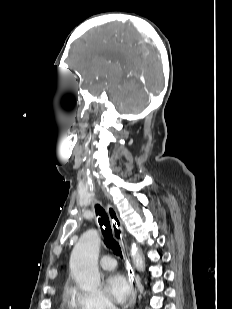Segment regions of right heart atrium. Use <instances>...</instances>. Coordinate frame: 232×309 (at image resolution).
Wrapping results in <instances>:
<instances>
[{"label":"right heart atrium","instance_id":"right-heart-atrium-1","mask_svg":"<svg viewBox=\"0 0 232 309\" xmlns=\"http://www.w3.org/2000/svg\"><path fill=\"white\" fill-rule=\"evenodd\" d=\"M67 295L75 309H117L109 296L100 290L86 292L70 287Z\"/></svg>","mask_w":232,"mask_h":309}]
</instances>
